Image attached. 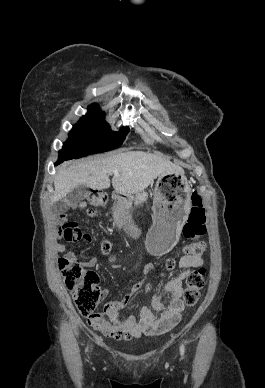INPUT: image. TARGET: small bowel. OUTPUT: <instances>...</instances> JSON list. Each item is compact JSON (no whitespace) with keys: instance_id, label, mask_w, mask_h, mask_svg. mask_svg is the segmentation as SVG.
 Here are the masks:
<instances>
[{"instance_id":"1","label":"small bowel","mask_w":265,"mask_h":388,"mask_svg":"<svg viewBox=\"0 0 265 388\" xmlns=\"http://www.w3.org/2000/svg\"><path fill=\"white\" fill-rule=\"evenodd\" d=\"M87 206L88 204L85 201L75 205L78 209H85ZM87 215L90 218L96 216L92 210H87ZM83 238L86 241H91L90 236H84ZM56 250L62 252L64 247L61 244H57ZM65 257L75 260L70 253ZM203 263L204 259L201 256L182 255L179 259L180 271L166 283L160 293L153 297L151 307L144 306L138 317H121L119 309L126 305L133 295L143 288L153 271V265L146 263L144 266L145 279L129 288L121 300H113L106 304L105 313L108 319L101 318L100 321L89 323L106 337L115 339L137 338L141 335H153L171 330L180 321L184 309L181 301L183 281L188 276L191 268L202 266ZM80 264L84 267H92L96 264V260L89 258ZM108 295L109 290L106 288L102 289L100 299H105ZM164 296L169 298L168 302H164Z\"/></svg>"}]
</instances>
